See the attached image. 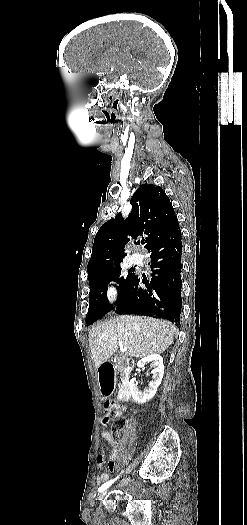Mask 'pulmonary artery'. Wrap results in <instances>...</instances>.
I'll list each match as a JSON object with an SVG mask.
<instances>
[{
	"instance_id": "obj_1",
	"label": "pulmonary artery",
	"mask_w": 247,
	"mask_h": 525,
	"mask_svg": "<svg viewBox=\"0 0 247 525\" xmlns=\"http://www.w3.org/2000/svg\"><path fill=\"white\" fill-rule=\"evenodd\" d=\"M130 261H143L142 255L139 252H135L130 256Z\"/></svg>"
}]
</instances>
